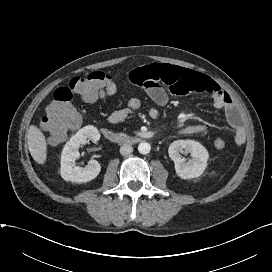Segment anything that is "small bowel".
Masks as SVG:
<instances>
[{"mask_svg":"<svg viewBox=\"0 0 272 272\" xmlns=\"http://www.w3.org/2000/svg\"><path fill=\"white\" fill-rule=\"evenodd\" d=\"M132 84L146 91L159 105L167 103L168 95H187L197 93L209 98L214 107L223 110L228 124L234 130V147H241L246 141V131L240 114L231 96L209 77L193 70L171 64L148 63L134 68L129 73ZM133 111L127 107L113 111L108 120L116 124L124 121ZM149 116L156 121L159 112L149 110ZM207 130L204 123L184 126L177 131L179 135H198Z\"/></svg>","mask_w":272,"mask_h":272,"instance_id":"c3829d8e","label":"small bowel"}]
</instances>
